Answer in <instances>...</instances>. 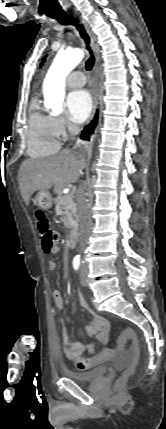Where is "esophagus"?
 Here are the masks:
<instances>
[{
  "mask_svg": "<svg viewBox=\"0 0 166 429\" xmlns=\"http://www.w3.org/2000/svg\"><path fill=\"white\" fill-rule=\"evenodd\" d=\"M75 16H76V14H75ZM80 20H81L82 24L85 26L88 34L90 35V38L92 41V47H93V50L95 52V64L93 67L94 96H93V109H92V113H91V117H90V119H92L95 112H96L97 105H98L97 85H98V78H99L100 47L98 45L96 35L91 31L87 22L81 17H80Z\"/></svg>",
  "mask_w": 166,
  "mask_h": 429,
  "instance_id": "esophagus-1",
  "label": "esophagus"
}]
</instances>
